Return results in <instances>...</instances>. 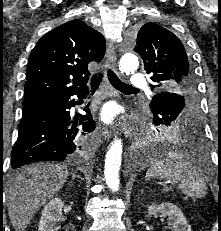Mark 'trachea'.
I'll return each mask as SVG.
<instances>
[{"label":"trachea","instance_id":"3493384b","mask_svg":"<svg viewBox=\"0 0 221 231\" xmlns=\"http://www.w3.org/2000/svg\"><path fill=\"white\" fill-rule=\"evenodd\" d=\"M108 73V79L110 81V83L118 90L120 91H126V90H137L133 87H131L130 85L123 83L117 76L116 74L111 70L108 69L107 71ZM102 74H96L92 77L91 79V88L92 90H96L102 80Z\"/></svg>","mask_w":221,"mask_h":231}]
</instances>
